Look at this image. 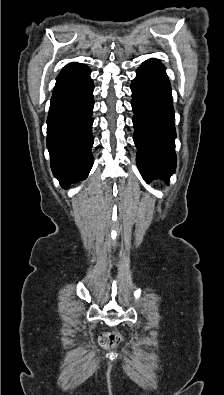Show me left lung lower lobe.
Wrapping results in <instances>:
<instances>
[{
	"label": "left lung lower lobe",
	"instance_id": "left-lung-lower-lobe-1",
	"mask_svg": "<svg viewBox=\"0 0 224 395\" xmlns=\"http://www.w3.org/2000/svg\"><path fill=\"white\" fill-rule=\"evenodd\" d=\"M134 142L138 169L146 182L175 172V127L171 86L165 66L157 59L146 60L132 81Z\"/></svg>",
	"mask_w": 224,
	"mask_h": 395
}]
</instances>
